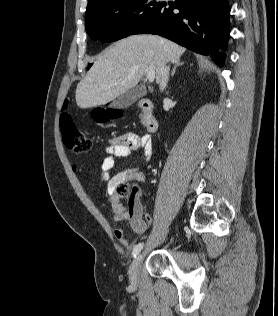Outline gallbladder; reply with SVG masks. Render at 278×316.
<instances>
[{
	"mask_svg": "<svg viewBox=\"0 0 278 316\" xmlns=\"http://www.w3.org/2000/svg\"><path fill=\"white\" fill-rule=\"evenodd\" d=\"M144 95H146L145 87L136 85L113 100L110 106L114 108H127Z\"/></svg>",
	"mask_w": 278,
	"mask_h": 316,
	"instance_id": "bac80fb5",
	"label": "gallbladder"
}]
</instances>
